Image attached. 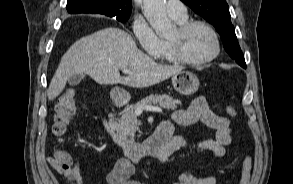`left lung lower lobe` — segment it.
<instances>
[{
  "mask_svg": "<svg viewBox=\"0 0 293 184\" xmlns=\"http://www.w3.org/2000/svg\"><path fill=\"white\" fill-rule=\"evenodd\" d=\"M240 66H242L243 68H246V64H242V65H240Z\"/></svg>",
  "mask_w": 293,
  "mask_h": 184,
  "instance_id": "obj_1",
  "label": "left lung lower lobe"
}]
</instances>
